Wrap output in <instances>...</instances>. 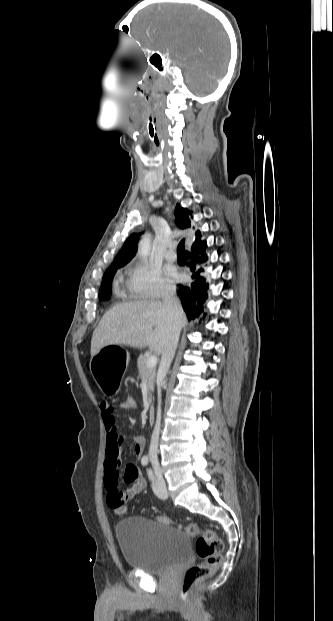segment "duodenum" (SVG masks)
Returning <instances> with one entry per match:
<instances>
[{
  "label": "duodenum",
  "mask_w": 333,
  "mask_h": 621,
  "mask_svg": "<svg viewBox=\"0 0 333 621\" xmlns=\"http://www.w3.org/2000/svg\"><path fill=\"white\" fill-rule=\"evenodd\" d=\"M155 419H156V412L154 408H150L148 411V423L150 425H153L155 423Z\"/></svg>",
  "instance_id": "obj_1"
}]
</instances>
